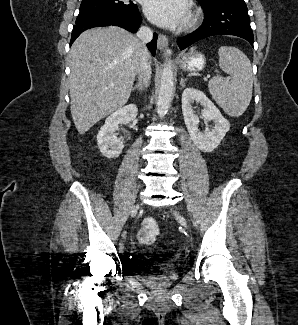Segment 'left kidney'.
Here are the masks:
<instances>
[{
    "label": "left kidney",
    "mask_w": 298,
    "mask_h": 325,
    "mask_svg": "<svg viewBox=\"0 0 298 325\" xmlns=\"http://www.w3.org/2000/svg\"><path fill=\"white\" fill-rule=\"evenodd\" d=\"M181 102L184 122L197 148L203 150V152H211V150L217 148L227 130L230 128V122H228L227 118H224L222 112H220L219 108H217L212 100L206 96L205 92H203V90H198V88H191V86H189V88H184ZM192 102H198V104L204 106L202 110L203 118H206V120H213L214 122V126H212L210 130L200 132L197 126V114H195Z\"/></svg>",
    "instance_id": "1"
}]
</instances>
